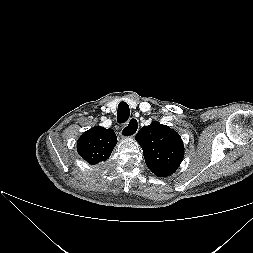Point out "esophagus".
Segmentation results:
<instances>
[{"label":"esophagus","instance_id":"1","mask_svg":"<svg viewBox=\"0 0 253 253\" xmlns=\"http://www.w3.org/2000/svg\"><path fill=\"white\" fill-rule=\"evenodd\" d=\"M131 120H132L133 124L130 126L129 123ZM130 121L127 124H125L120 131V135L123 138H131V137L135 136L138 129H139V124H138L137 119L131 118Z\"/></svg>","mask_w":253,"mask_h":253}]
</instances>
